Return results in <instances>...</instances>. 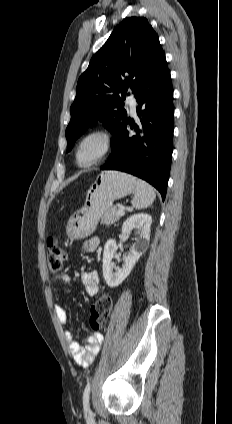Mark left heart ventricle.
Masks as SVG:
<instances>
[{
  "mask_svg": "<svg viewBox=\"0 0 232 424\" xmlns=\"http://www.w3.org/2000/svg\"><path fill=\"white\" fill-rule=\"evenodd\" d=\"M102 147V141L99 137H91L87 139L81 147V158L83 160H90L95 157Z\"/></svg>",
  "mask_w": 232,
  "mask_h": 424,
  "instance_id": "b2bd125f",
  "label": "left heart ventricle"
}]
</instances>
